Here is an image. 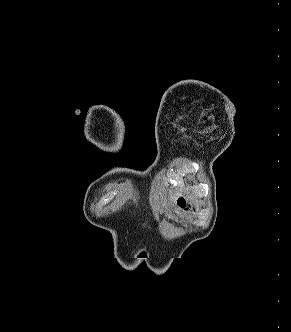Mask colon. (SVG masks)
Here are the masks:
<instances>
[{
  "label": "colon",
  "instance_id": "5ec220e1",
  "mask_svg": "<svg viewBox=\"0 0 291 332\" xmlns=\"http://www.w3.org/2000/svg\"><path fill=\"white\" fill-rule=\"evenodd\" d=\"M179 204L182 205V204H183V200H180V201H179Z\"/></svg>",
  "mask_w": 291,
  "mask_h": 332
}]
</instances>
